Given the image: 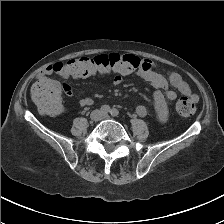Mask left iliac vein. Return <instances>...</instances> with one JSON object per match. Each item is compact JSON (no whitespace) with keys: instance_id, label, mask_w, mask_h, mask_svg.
I'll return each instance as SVG.
<instances>
[{"instance_id":"obj_1","label":"left iliac vein","mask_w":224,"mask_h":224,"mask_svg":"<svg viewBox=\"0 0 224 224\" xmlns=\"http://www.w3.org/2000/svg\"><path fill=\"white\" fill-rule=\"evenodd\" d=\"M103 118H104V119H108V118H109V115L104 114V115H103Z\"/></svg>"}]
</instances>
